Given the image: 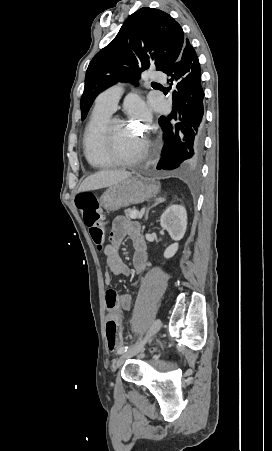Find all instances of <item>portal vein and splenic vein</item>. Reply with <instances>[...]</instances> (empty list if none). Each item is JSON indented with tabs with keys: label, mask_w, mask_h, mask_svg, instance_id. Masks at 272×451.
Returning <instances> with one entry per match:
<instances>
[{
	"label": "portal vein and splenic vein",
	"mask_w": 272,
	"mask_h": 451,
	"mask_svg": "<svg viewBox=\"0 0 272 451\" xmlns=\"http://www.w3.org/2000/svg\"><path fill=\"white\" fill-rule=\"evenodd\" d=\"M137 216H138V218H141V216H139V212H135V210H134V212H132L130 218H132V220H135V218H137Z\"/></svg>",
	"instance_id": "portal-vein-and-splenic-vein-1"
}]
</instances>
